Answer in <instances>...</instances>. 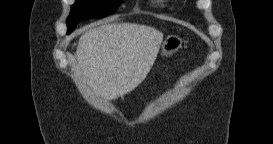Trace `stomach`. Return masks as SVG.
I'll use <instances>...</instances> for the list:
<instances>
[{"label":"stomach","instance_id":"stomach-1","mask_svg":"<svg viewBox=\"0 0 273 144\" xmlns=\"http://www.w3.org/2000/svg\"><path fill=\"white\" fill-rule=\"evenodd\" d=\"M183 41L180 37L175 35L168 36L162 45V56H171L175 54L181 47Z\"/></svg>","mask_w":273,"mask_h":144}]
</instances>
